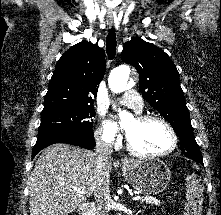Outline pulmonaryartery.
Instances as JSON below:
<instances>
[{
  "label": "pulmonary artery",
  "instance_id": "e3ab8cb5",
  "mask_svg": "<svg viewBox=\"0 0 221 215\" xmlns=\"http://www.w3.org/2000/svg\"><path fill=\"white\" fill-rule=\"evenodd\" d=\"M120 104L140 112L143 108V100L139 93L133 89L127 90L120 100Z\"/></svg>",
  "mask_w": 221,
  "mask_h": 215
}]
</instances>
